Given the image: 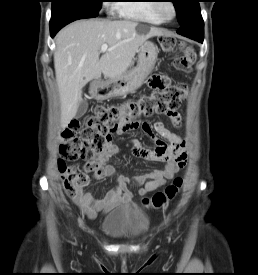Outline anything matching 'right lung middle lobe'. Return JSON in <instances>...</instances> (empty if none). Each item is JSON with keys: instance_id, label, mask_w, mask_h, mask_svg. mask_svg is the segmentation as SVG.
Instances as JSON below:
<instances>
[{"instance_id": "dd1d6c3e", "label": "right lung middle lobe", "mask_w": 258, "mask_h": 275, "mask_svg": "<svg viewBox=\"0 0 258 275\" xmlns=\"http://www.w3.org/2000/svg\"><path fill=\"white\" fill-rule=\"evenodd\" d=\"M104 0H52V16L77 13L96 17Z\"/></svg>"}]
</instances>
